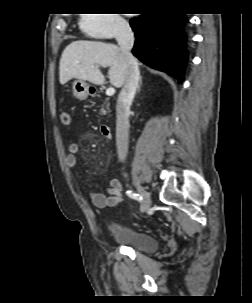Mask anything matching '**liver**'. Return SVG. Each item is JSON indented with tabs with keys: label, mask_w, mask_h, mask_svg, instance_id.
<instances>
[{
	"label": "liver",
	"mask_w": 252,
	"mask_h": 303,
	"mask_svg": "<svg viewBox=\"0 0 252 303\" xmlns=\"http://www.w3.org/2000/svg\"><path fill=\"white\" fill-rule=\"evenodd\" d=\"M99 66L110 67L108 74L113 86L124 85L126 70L118 46L98 41H74L64 49L60 59V84L75 78L101 85L105 77Z\"/></svg>",
	"instance_id": "6515ba94"
}]
</instances>
